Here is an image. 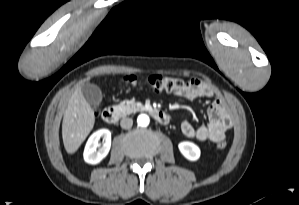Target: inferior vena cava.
Segmentation results:
<instances>
[{
    "instance_id": "inferior-vena-cava-1",
    "label": "inferior vena cava",
    "mask_w": 299,
    "mask_h": 205,
    "mask_svg": "<svg viewBox=\"0 0 299 205\" xmlns=\"http://www.w3.org/2000/svg\"><path fill=\"white\" fill-rule=\"evenodd\" d=\"M123 129H130L133 125V120L131 118H123L120 122Z\"/></svg>"
}]
</instances>
